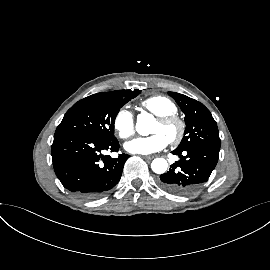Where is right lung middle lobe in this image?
Listing matches in <instances>:
<instances>
[{"label":"right lung middle lobe","instance_id":"right-lung-middle-lobe-1","mask_svg":"<svg viewBox=\"0 0 270 270\" xmlns=\"http://www.w3.org/2000/svg\"><path fill=\"white\" fill-rule=\"evenodd\" d=\"M141 90L128 93L101 92L75 103L65 114L55 133L76 132L102 141L115 140L114 121L120 108Z\"/></svg>","mask_w":270,"mask_h":270}]
</instances>
